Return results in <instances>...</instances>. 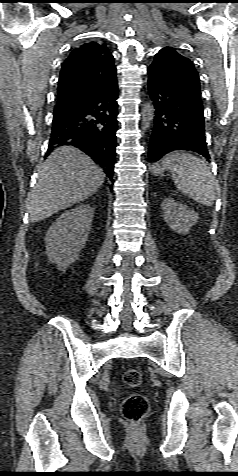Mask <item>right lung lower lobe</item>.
<instances>
[{
	"label": "right lung lower lobe",
	"mask_w": 238,
	"mask_h": 476,
	"mask_svg": "<svg viewBox=\"0 0 238 476\" xmlns=\"http://www.w3.org/2000/svg\"><path fill=\"white\" fill-rule=\"evenodd\" d=\"M117 82L96 98L73 109L65 117L53 118L48 153L53 147L72 145L89 155L112 180L118 129Z\"/></svg>",
	"instance_id": "right-lung-lower-lobe-1"
}]
</instances>
